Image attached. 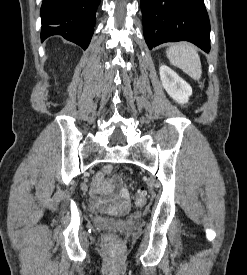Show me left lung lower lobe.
Wrapping results in <instances>:
<instances>
[{
	"label": "left lung lower lobe",
	"instance_id": "left-lung-lower-lobe-1",
	"mask_svg": "<svg viewBox=\"0 0 247 275\" xmlns=\"http://www.w3.org/2000/svg\"><path fill=\"white\" fill-rule=\"evenodd\" d=\"M141 11L149 49L184 40L210 51V22L203 0H141Z\"/></svg>",
	"mask_w": 247,
	"mask_h": 275
}]
</instances>
